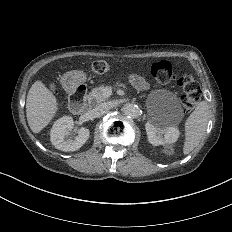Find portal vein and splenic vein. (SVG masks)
Returning a JSON list of instances; mask_svg holds the SVG:
<instances>
[{"label":"portal vein and splenic vein","instance_id":"obj_1","mask_svg":"<svg viewBox=\"0 0 232 232\" xmlns=\"http://www.w3.org/2000/svg\"><path fill=\"white\" fill-rule=\"evenodd\" d=\"M116 87H122V88H125V89H126L128 86H127L126 84H124V83H117V84H116ZM113 91H115V87H110V88H108V89L106 90V92H105L106 97H110L111 94L113 93Z\"/></svg>","mask_w":232,"mask_h":232}]
</instances>
